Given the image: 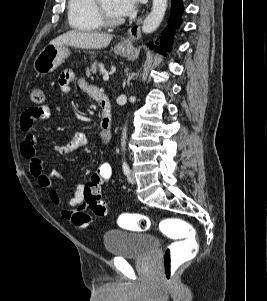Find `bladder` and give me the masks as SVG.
I'll list each match as a JSON object with an SVG mask.
<instances>
[{"label": "bladder", "instance_id": "1", "mask_svg": "<svg viewBox=\"0 0 267 301\" xmlns=\"http://www.w3.org/2000/svg\"><path fill=\"white\" fill-rule=\"evenodd\" d=\"M103 244L110 255L122 258H147L159 248V238L153 234L121 229L107 230Z\"/></svg>", "mask_w": 267, "mask_h": 301}]
</instances>
